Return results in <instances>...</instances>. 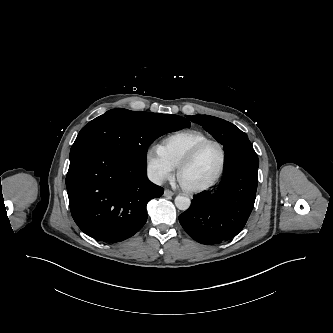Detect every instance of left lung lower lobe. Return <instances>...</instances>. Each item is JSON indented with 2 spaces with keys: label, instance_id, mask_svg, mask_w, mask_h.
<instances>
[{
  "label": "left lung lower lobe",
  "instance_id": "left-lung-lower-lobe-1",
  "mask_svg": "<svg viewBox=\"0 0 333 333\" xmlns=\"http://www.w3.org/2000/svg\"><path fill=\"white\" fill-rule=\"evenodd\" d=\"M259 160L252 144L242 139L225 152L221 182L212 191L196 195L179 215L184 230L202 244H218L244 228L254 207Z\"/></svg>",
  "mask_w": 333,
  "mask_h": 333
}]
</instances>
